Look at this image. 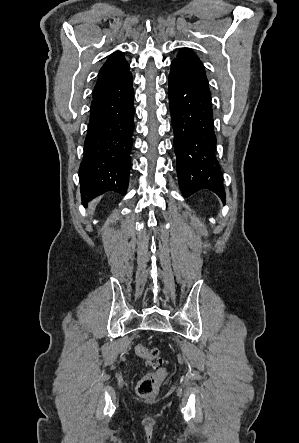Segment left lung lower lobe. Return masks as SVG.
<instances>
[{
	"label": "left lung lower lobe",
	"instance_id": "1",
	"mask_svg": "<svg viewBox=\"0 0 299 443\" xmlns=\"http://www.w3.org/2000/svg\"><path fill=\"white\" fill-rule=\"evenodd\" d=\"M168 81L180 189L185 197L207 189L223 200V177L214 156L216 137L208 81L174 60Z\"/></svg>",
	"mask_w": 299,
	"mask_h": 443
}]
</instances>
